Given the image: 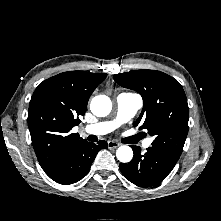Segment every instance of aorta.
Masks as SVG:
<instances>
[{
	"mask_svg": "<svg viewBox=\"0 0 221 221\" xmlns=\"http://www.w3.org/2000/svg\"><path fill=\"white\" fill-rule=\"evenodd\" d=\"M91 112L97 117H105L112 110V103L105 95L95 96L90 103ZM117 159L122 163H128L133 158V151L129 146H120L116 151Z\"/></svg>",
	"mask_w": 221,
	"mask_h": 221,
	"instance_id": "762f6f07",
	"label": "aorta"
}]
</instances>
